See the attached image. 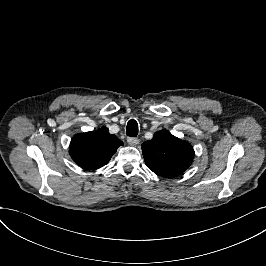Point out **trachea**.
<instances>
[{"label":"trachea","mask_w":266,"mask_h":266,"mask_svg":"<svg viewBox=\"0 0 266 266\" xmlns=\"http://www.w3.org/2000/svg\"><path fill=\"white\" fill-rule=\"evenodd\" d=\"M138 134V124L135 120H130L127 123L126 135L130 137H136Z\"/></svg>","instance_id":"3493384b"}]
</instances>
